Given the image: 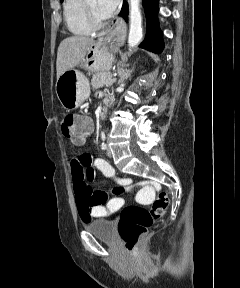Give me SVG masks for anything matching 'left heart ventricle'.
Instances as JSON below:
<instances>
[{
	"label": "left heart ventricle",
	"mask_w": 240,
	"mask_h": 288,
	"mask_svg": "<svg viewBox=\"0 0 240 288\" xmlns=\"http://www.w3.org/2000/svg\"><path fill=\"white\" fill-rule=\"evenodd\" d=\"M87 3L92 8V10L94 11L97 18L103 19V17L99 14V12L97 10V0H87Z\"/></svg>",
	"instance_id": "obj_1"
}]
</instances>
